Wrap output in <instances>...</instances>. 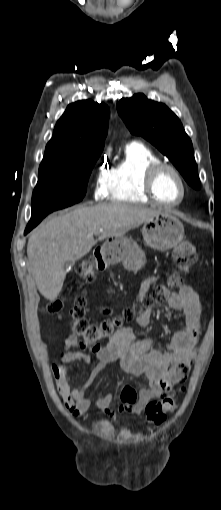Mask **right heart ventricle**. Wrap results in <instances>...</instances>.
Listing matches in <instances>:
<instances>
[{
  "label": "right heart ventricle",
  "instance_id": "e07e8e85",
  "mask_svg": "<svg viewBox=\"0 0 221 510\" xmlns=\"http://www.w3.org/2000/svg\"><path fill=\"white\" fill-rule=\"evenodd\" d=\"M158 161L159 157L143 143L127 144L123 158L110 171V201L149 203L143 189V176L147 166Z\"/></svg>",
  "mask_w": 221,
  "mask_h": 510
}]
</instances>
